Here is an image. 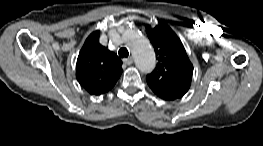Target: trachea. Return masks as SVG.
<instances>
[{
  "label": "trachea",
  "mask_w": 263,
  "mask_h": 146,
  "mask_svg": "<svg viewBox=\"0 0 263 146\" xmlns=\"http://www.w3.org/2000/svg\"><path fill=\"white\" fill-rule=\"evenodd\" d=\"M118 54H119L120 58H124V57L127 58L129 56L128 50L124 47L119 49Z\"/></svg>",
  "instance_id": "1"
}]
</instances>
